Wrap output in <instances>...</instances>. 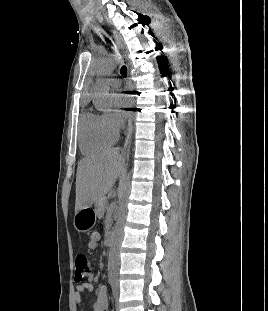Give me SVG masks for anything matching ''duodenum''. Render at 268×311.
Segmentation results:
<instances>
[{
  "mask_svg": "<svg viewBox=\"0 0 268 311\" xmlns=\"http://www.w3.org/2000/svg\"><path fill=\"white\" fill-rule=\"evenodd\" d=\"M107 245L111 246L114 243V234L110 232L106 239Z\"/></svg>",
  "mask_w": 268,
  "mask_h": 311,
  "instance_id": "410a0bca",
  "label": "duodenum"
}]
</instances>
